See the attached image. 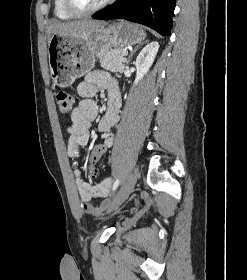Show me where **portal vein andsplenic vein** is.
I'll use <instances>...</instances> for the list:
<instances>
[{"instance_id": "portal-vein-and-splenic-vein-1", "label": "portal vein and splenic vein", "mask_w": 247, "mask_h": 280, "mask_svg": "<svg viewBox=\"0 0 247 280\" xmlns=\"http://www.w3.org/2000/svg\"><path fill=\"white\" fill-rule=\"evenodd\" d=\"M124 55H126V52L123 54V57L121 59L122 62H126L127 61V59L124 57Z\"/></svg>"}]
</instances>
